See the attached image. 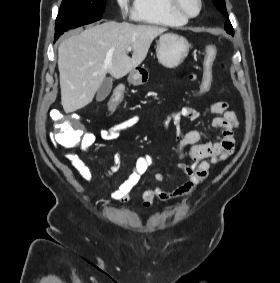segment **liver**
Listing matches in <instances>:
<instances>
[{
	"mask_svg": "<svg viewBox=\"0 0 280 283\" xmlns=\"http://www.w3.org/2000/svg\"><path fill=\"white\" fill-rule=\"evenodd\" d=\"M165 27L108 21L64 40L58 48L61 104L66 113L92 102L107 73L124 77L146 58ZM133 49L132 57L127 48Z\"/></svg>",
	"mask_w": 280,
	"mask_h": 283,
	"instance_id": "6515ba94",
	"label": "liver"
}]
</instances>
